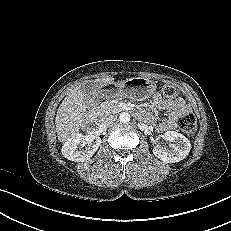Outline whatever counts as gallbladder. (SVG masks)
<instances>
[{"instance_id": "1", "label": "gallbladder", "mask_w": 231, "mask_h": 231, "mask_svg": "<svg viewBox=\"0 0 231 231\" xmlns=\"http://www.w3.org/2000/svg\"><path fill=\"white\" fill-rule=\"evenodd\" d=\"M100 89V84L95 81H87L81 87L80 91L85 97H91Z\"/></svg>"}]
</instances>
